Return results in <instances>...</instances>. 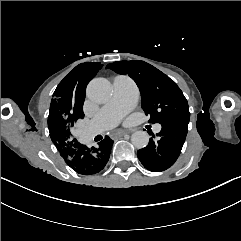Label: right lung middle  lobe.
I'll list each match as a JSON object with an SVG mask.
<instances>
[{"label":"right lung middle lobe","instance_id":"obj_1","mask_svg":"<svg viewBox=\"0 0 241 241\" xmlns=\"http://www.w3.org/2000/svg\"><path fill=\"white\" fill-rule=\"evenodd\" d=\"M101 67L102 65L99 62L77 65L54 91L49 113L69 121H77L83 118L86 86Z\"/></svg>","mask_w":241,"mask_h":241}]
</instances>
